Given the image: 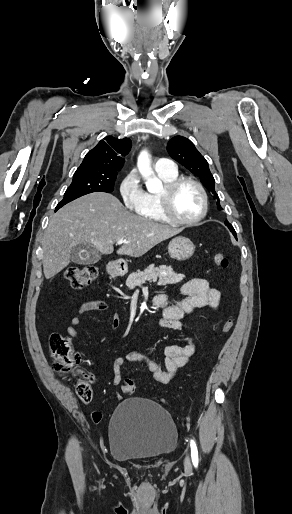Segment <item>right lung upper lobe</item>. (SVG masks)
<instances>
[{"mask_svg":"<svg viewBox=\"0 0 292 514\" xmlns=\"http://www.w3.org/2000/svg\"><path fill=\"white\" fill-rule=\"evenodd\" d=\"M84 157L75 175L111 176L116 177L117 172L124 165L126 156L132 146L129 138L117 139L105 137Z\"/></svg>","mask_w":292,"mask_h":514,"instance_id":"right-lung-upper-lobe-1","label":"right lung upper lobe"}]
</instances>
